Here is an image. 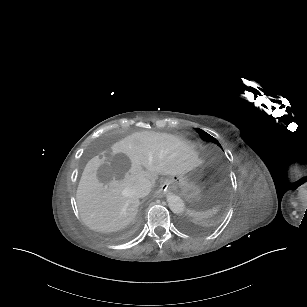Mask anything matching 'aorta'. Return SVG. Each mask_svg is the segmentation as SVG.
<instances>
[{
  "label": "aorta",
  "instance_id": "762f6f07",
  "mask_svg": "<svg viewBox=\"0 0 307 307\" xmlns=\"http://www.w3.org/2000/svg\"><path fill=\"white\" fill-rule=\"evenodd\" d=\"M167 202H168L170 209L174 213L178 214L184 211V202L179 196L169 194L167 196Z\"/></svg>",
  "mask_w": 307,
  "mask_h": 307
}]
</instances>
